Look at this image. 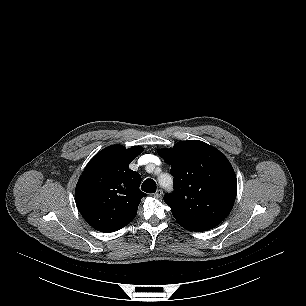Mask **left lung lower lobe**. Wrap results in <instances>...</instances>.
Wrapping results in <instances>:
<instances>
[{"mask_svg":"<svg viewBox=\"0 0 306 306\" xmlns=\"http://www.w3.org/2000/svg\"><path fill=\"white\" fill-rule=\"evenodd\" d=\"M188 230H192V231H200V230H195V229H188Z\"/></svg>","mask_w":306,"mask_h":306,"instance_id":"left-lung-lower-lobe-1","label":"left lung lower lobe"}]
</instances>
